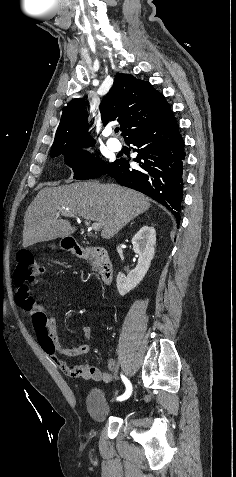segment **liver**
<instances>
[{"mask_svg": "<svg viewBox=\"0 0 236 477\" xmlns=\"http://www.w3.org/2000/svg\"><path fill=\"white\" fill-rule=\"evenodd\" d=\"M149 207L148 197L116 184L79 182L45 187L25 212L22 245L26 248L73 234L76 227L59 218L62 211L99 223L102 238L110 239Z\"/></svg>", "mask_w": 236, "mask_h": 477, "instance_id": "obj_1", "label": "liver"}]
</instances>
